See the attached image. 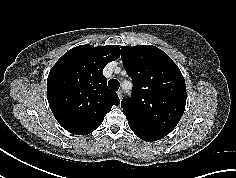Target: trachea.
<instances>
[{"label": "trachea", "mask_w": 236, "mask_h": 178, "mask_svg": "<svg viewBox=\"0 0 236 178\" xmlns=\"http://www.w3.org/2000/svg\"><path fill=\"white\" fill-rule=\"evenodd\" d=\"M108 86H109L112 90L117 91V90L119 89L120 83H119V81L116 80V79H110V80L108 81Z\"/></svg>", "instance_id": "3493384b"}]
</instances>
